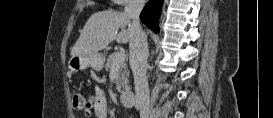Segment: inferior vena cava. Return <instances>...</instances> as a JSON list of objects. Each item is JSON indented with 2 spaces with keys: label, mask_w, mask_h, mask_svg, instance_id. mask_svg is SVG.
<instances>
[{
  "label": "inferior vena cava",
  "mask_w": 273,
  "mask_h": 118,
  "mask_svg": "<svg viewBox=\"0 0 273 118\" xmlns=\"http://www.w3.org/2000/svg\"><path fill=\"white\" fill-rule=\"evenodd\" d=\"M144 0H130L125 7L132 22L129 24L130 32V57L129 64L134 76L135 99L140 107L142 118H147L149 114V87L146 77L148 44L145 32L140 25L139 15L144 6Z\"/></svg>",
  "instance_id": "obj_1"
}]
</instances>
